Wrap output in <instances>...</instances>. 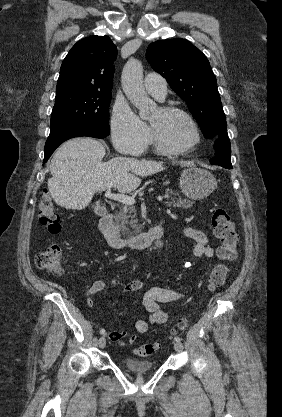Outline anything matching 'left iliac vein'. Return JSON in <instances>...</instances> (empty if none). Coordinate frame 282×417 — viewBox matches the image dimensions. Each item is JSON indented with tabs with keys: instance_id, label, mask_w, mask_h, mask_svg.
I'll return each instance as SVG.
<instances>
[{
	"instance_id": "1",
	"label": "left iliac vein",
	"mask_w": 282,
	"mask_h": 417,
	"mask_svg": "<svg viewBox=\"0 0 282 417\" xmlns=\"http://www.w3.org/2000/svg\"><path fill=\"white\" fill-rule=\"evenodd\" d=\"M174 349L176 352H181L183 350V344L181 342H175Z\"/></svg>"
}]
</instances>
